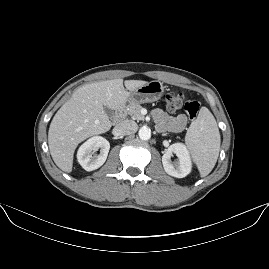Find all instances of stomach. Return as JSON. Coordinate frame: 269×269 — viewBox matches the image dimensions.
Listing matches in <instances>:
<instances>
[{
	"label": "stomach",
	"mask_w": 269,
	"mask_h": 269,
	"mask_svg": "<svg viewBox=\"0 0 269 269\" xmlns=\"http://www.w3.org/2000/svg\"><path fill=\"white\" fill-rule=\"evenodd\" d=\"M162 93V83L159 81H152L131 90L127 98V103L143 104L145 102L154 101L160 98Z\"/></svg>",
	"instance_id": "obj_1"
}]
</instances>
